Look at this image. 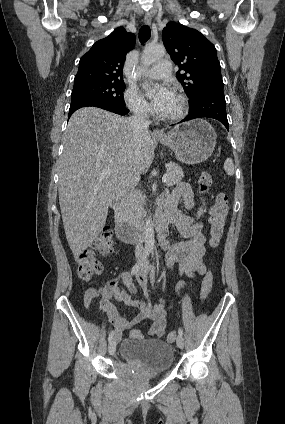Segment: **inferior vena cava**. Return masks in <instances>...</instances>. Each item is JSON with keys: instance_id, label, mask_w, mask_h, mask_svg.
I'll use <instances>...</instances> for the list:
<instances>
[{"instance_id": "inferior-vena-cava-1", "label": "inferior vena cava", "mask_w": 285, "mask_h": 424, "mask_svg": "<svg viewBox=\"0 0 285 424\" xmlns=\"http://www.w3.org/2000/svg\"><path fill=\"white\" fill-rule=\"evenodd\" d=\"M133 115L129 118V123L132 126L133 133L138 136L149 128L150 120L146 110L141 106L133 108ZM135 256L141 259L143 256V245L137 243L135 248Z\"/></svg>"}]
</instances>
